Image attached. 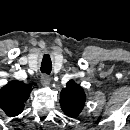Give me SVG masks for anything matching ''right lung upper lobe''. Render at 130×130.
<instances>
[{
    "mask_svg": "<svg viewBox=\"0 0 130 130\" xmlns=\"http://www.w3.org/2000/svg\"><path fill=\"white\" fill-rule=\"evenodd\" d=\"M32 86L33 84L10 82L0 89V108L7 116L14 117L23 111Z\"/></svg>",
    "mask_w": 130,
    "mask_h": 130,
    "instance_id": "1",
    "label": "right lung upper lobe"
}]
</instances>
